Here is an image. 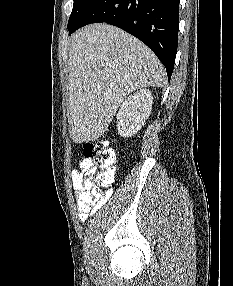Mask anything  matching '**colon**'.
<instances>
[{"label":"colon","mask_w":233,"mask_h":286,"mask_svg":"<svg viewBox=\"0 0 233 286\" xmlns=\"http://www.w3.org/2000/svg\"><path fill=\"white\" fill-rule=\"evenodd\" d=\"M83 155L91 163L89 176L100 187H108L114 181V163L116 160L114 150L105 140L88 142L83 145Z\"/></svg>","instance_id":"5ec220e1"}]
</instances>
